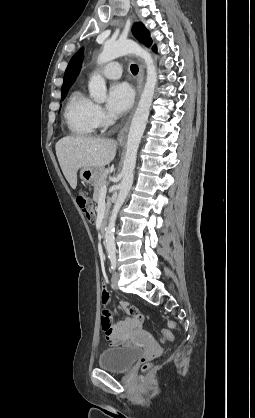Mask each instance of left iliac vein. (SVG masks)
Returning a JSON list of instances; mask_svg holds the SVG:
<instances>
[{
	"mask_svg": "<svg viewBox=\"0 0 255 418\" xmlns=\"http://www.w3.org/2000/svg\"><path fill=\"white\" fill-rule=\"evenodd\" d=\"M119 277H120L119 272H114L112 275V287L115 289L117 288Z\"/></svg>",
	"mask_w": 255,
	"mask_h": 418,
	"instance_id": "4c4485c4",
	"label": "left iliac vein"
}]
</instances>
